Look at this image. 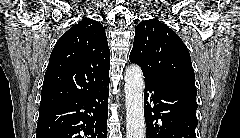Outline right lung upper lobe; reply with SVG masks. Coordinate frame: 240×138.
<instances>
[{
    "label": "right lung upper lobe",
    "instance_id": "right-lung-upper-lobe-1",
    "mask_svg": "<svg viewBox=\"0 0 240 138\" xmlns=\"http://www.w3.org/2000/svg\"><path fill=\"white\" fill-rule=\"evenodd\" d=\"M109 69L110 50L102 24L82 19L52 50L40 109L88 94L109 80Z\"/></svg>",
    "mask_w": 240,
    "mask_h": 138
}]
</instances>
